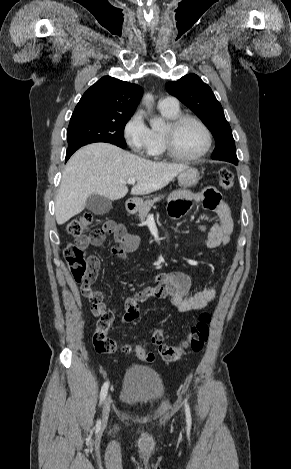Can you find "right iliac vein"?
I'll list each match as a JSON object with an SVG mask.
<instances>
[{
  "label": "right iliac vein",
  "mask_w": 291,
  "mask_h": 469,
  "mask_svg": "<svg viewBox=\"0 0 291 469\" xmlns=\"http://www.w3.org/2000/svg\"><path fill=\"white\" fill-rule=\"evenodd\" d=\"M110 406H111V397L107 396L104 405H103V410H102V424L106 425L107 420L109 417V412H110Z\"/></svg>",
  "instance_id": "right-iliac-vein-1"
}]
</instances>
